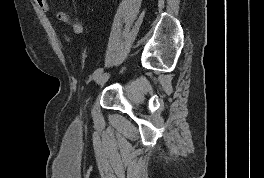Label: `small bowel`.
<instances>
[{"label": "small bowel", "mask_w": 264, "mask_h": 178, "mask_svg": "<svg viewBox=\"0 0 264 178\" xmlns=\"http://www.w3.org/2000/svg\"><path fill=\"white\" fill-rule=\"evenodd\" d=\"M35 1L42 11L46 13L51 11V7L48 0H35ZM55 18L61 23L70 25L75 34L82 33L84 29L83 24L80 21L72 20L71 17L64 11H57L55 13Z\"/></svg>", "instance_id": "c3829d8e"}]
</instances>
